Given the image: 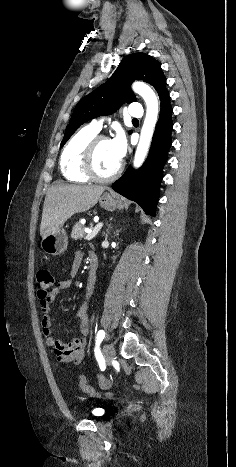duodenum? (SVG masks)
<instances>
[{
  "label": "duodenum",
  "mask_w": 236,
  "mask_h": 467,
  "mask_svg": "<svg viewBox=\"0 0 236 467\" xmlns=\"http://www.w3.org/2000/svg\"><path fill=\"white\" fill-rule=\"evenodd\" d=\"M98 272L97 263L94 260H91L88 269V277L90 280H94Z\"/></svg>",
  "instance_id": "duodenum-1"
}]
</instances>
